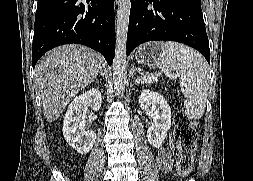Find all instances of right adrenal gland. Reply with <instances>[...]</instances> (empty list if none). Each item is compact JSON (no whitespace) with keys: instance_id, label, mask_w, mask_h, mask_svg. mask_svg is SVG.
Wrapping results in <instances>:
<instances>
[{"instance_id":"obj_1","label":"right adrenal gland","mask_w":253,"mask_h":181,"mask_svg":"<svg viewBox=\"0 0 253 181\" xmlns=\"http://www.w3.org/2000/svg\"><path fill=\"white\" fill-rule=\"evenodd\" d=\"M100 75H101L102 77H104V72H103V70L100 71Z\"/></svg>"}]
</instances>
